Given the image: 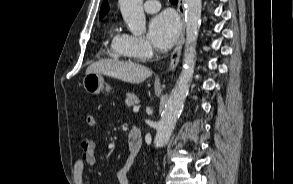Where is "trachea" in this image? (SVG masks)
I'll return each mask as SVG.
<instances>
[{
  "instance_id": "obj_1",
  "label": "trachea",
  "mask_w": 293,
  "mask_h": 184,
  "mask_svg": "<svg viewBox=\"0 0 293 184\" xmlns=\"http://www.w3.org/2000/svg\"><path fill=\"white\" fill-rule=\"evenodd\" d=\"M171 3H177L178 0H170Z\"/></svg>"
}]
</instances>
